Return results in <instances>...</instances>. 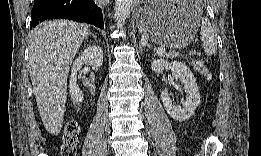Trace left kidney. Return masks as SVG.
<instances>
[{
    "label": "left kidney",
    "mask_w": 261,
    "mask_h": 156,
    "mask_svg": "<svg viewBox=\"0 0 261 156\" xmlns=\"http://www.w3.org/2000/svg\"><path fill=\"white\" fill-rule=\"evenodd\" d=\"M151 68L155 73H162L165 69H171L172 76L185 84L186 101L182 106L175 105L168 94V90L161 91V100L167 113L176 121L188 120L195 112L200 103V94L196 79L191 70L180 61L168 62L163 59L154 60Z\"/></svg>",
    "instance_id": "obj_1"
}]
</instances>
